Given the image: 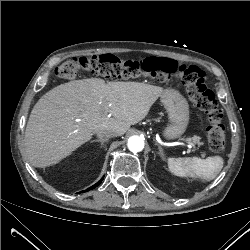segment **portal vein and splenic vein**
<instances>
[{"label": "portal vein and splenic vein", "instance_id": "obj_1", "mask_svg": "<svg viewBox=\"0 0 250 250\" xmlns=\"http://www.w3.org/2000/svg\"><path fill=\"white\" fill-rule=\"evenodd\" d=\"M187 144L189 148H192L194 146V144L191 142V140L189 139H183Z\"/></svg>", "mask_w": 250, "mask_h": 250}]
</instances>
